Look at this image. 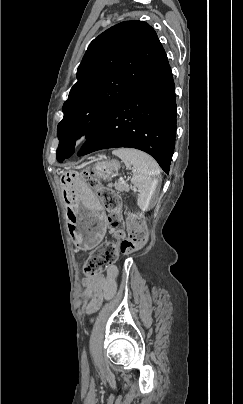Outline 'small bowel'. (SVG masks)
I'll use <instances>...</instances> for the list:
<instances>
[{"mask_svg": "<svg viewBox=\"0 0 243 404\" xmlns=\"http://www.w3.org/2000/svg\"><path fill=\"white\" fill-rule=\"evenodd\" d=\"M117 275V267L115 265H110L107 267L106 276L97 275L96 277L85 281L87 296L89 298V313L96 311L104 298H110L114 295L116 291Z\"/></svg>", "mask_w": 243, "mask_h": 404, "instance_id": "small-bowel-1", "label": "small bowel"}]
</instances>
